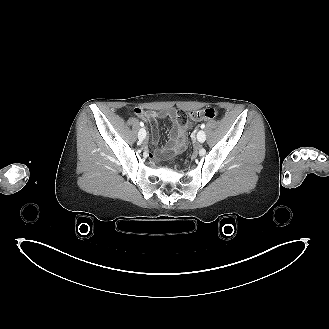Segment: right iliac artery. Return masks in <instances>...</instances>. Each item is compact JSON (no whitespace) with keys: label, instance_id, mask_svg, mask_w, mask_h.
Wrapping results in <instances>:
<instances>
[{"label":"right iliac artery","instance_id":"right-iliac-artery-1","mask_svg":"<svg viewBox=\"0 0 329 329\" xmlns=\"http://www.w3.org/2000/svg\"><path fill=\"white\" fill-rule=\"evenodd\" d=\"M139 124H140V126H142V127L144 126V123H143L142 121H141Z\"/></svg>","mask_w":329,"mask_h":329}]
</instances>
